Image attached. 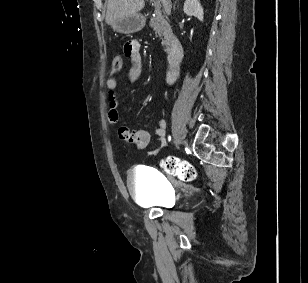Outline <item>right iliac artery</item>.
Masks as SVG:
<instances>
[{"mask_svg": "<svg viewBox=\"0 0 308 283\" xmlns=\"http://www.w3.org/2000/svg\"><path fill=\"white\" fill-rule=\"evenodd\" d=\"M168 140H169V141L171 140V136L168 137Z\"/></svg>", "mask_w": 308, "mask_h": 283, "instance_id": "obj_1", "label": "right iliac artery"}]
</instances>
